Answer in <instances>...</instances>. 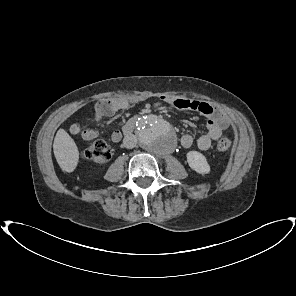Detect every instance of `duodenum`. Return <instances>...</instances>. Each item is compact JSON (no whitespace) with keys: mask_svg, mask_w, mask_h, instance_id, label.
Masks as SVG:
<instances>
[{"mask_svg":"<svg viewBox=\"0 0 296 296\" xmlns=\"http://www.w3.org/2000/svg\"><path fill=\"white\" fill-rule=\"evenodd\" d=\"M141 114H144V113H141ZM136 120H137V116L129 119L126 122V124L123 126V132L125 135L130 134L133 131V129L135 127Z\"/></svg>","mask_w":296,"mask_h":296,"instance_id":"410a0bca","label":"duodenum"}]
</instances>
